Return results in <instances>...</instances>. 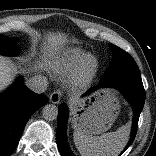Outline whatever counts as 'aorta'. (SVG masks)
Segmentation results:
<instances>
[{
  "mask_svg": "<svg viewBox=\"0 0 156 156\" xmlns=\"http://www.w3.org/2000/svg\"><path fill=\"white\" fill-rule=\"evenodd\" d=\"M42 116L47 121H53L57 119L58 108L55 105H45L42 109Z\"/></svg>",
  "mask_w": 156,
  "mask_h": 156,
  "instance_id": "762f6f07",
  "label": "aorta"
}]
</instances>
